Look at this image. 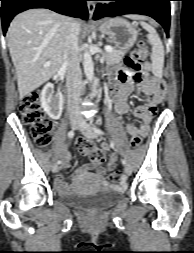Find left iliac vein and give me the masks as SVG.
<instances>
[{
	"instance_id": "4c4485c4",
	"label": "left iliac vein",
	"mask_w": 194,
	"mask_h": 253,
	"mask_svg": "<svg viewBox=\"0 0 194 253\" xmlns=\"http://www.w3.org/2000/svg\"><path fill=\"white\" fill-rule=\"evenodd\" d=\"M79 130L89 139L97 138V133L94 128L88 125L84 120H81ZM124 171L127 175H131L132 169L130 165H125Z\"/></svg>"
}]
</instances>
